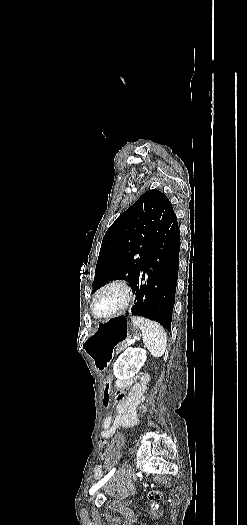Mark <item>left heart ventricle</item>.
<instances>
[{
    "label": "left heart ventricle",
    "instance_id": "b2bd125f",
    "mask_svg": "<svg viewBox=\"0 0 247 525\" xmlns=\"http://www.w3.org/2000/svg\"><path fill=\"white\" fill-rule=\"evenodd\" d=\"M125 299V292L116 288L103 290L96 298L95 308L99 313H104L118 307Z\"/></svg>",
    "mask_w": 247,
    "mask_h": 525
}]
</instances>
